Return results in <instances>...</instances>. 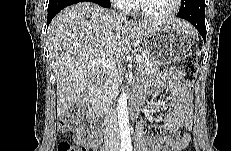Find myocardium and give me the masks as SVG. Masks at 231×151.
Instances as JSON below:
<instances>
[{
	"instance_id": "1",
	"label": "myocardium",
	"mask_w": 231,
	"mask_h": 151,
	"mask_svg": "<svg viewBox=\"0 0 231 151\" xmlns=\"http://www.w3.org/2000/svg\"><path fill=\"white\" fill-rule=\"evenodd\" d=\"M180 3V0H173L172 9L169 12L161 15H153L144 12L141 6V2L136 0L134 1V11L138 16L148 21H165L172 18L178 12Z\"/></svg>"
}]
</instances>
